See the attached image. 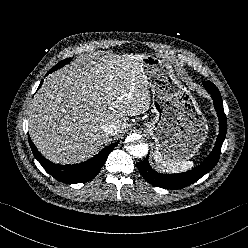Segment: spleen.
<instances>
[{
	"instance_id": "3e777b00",
	"label": "spleen",
	"mask_w": 248,
	"mask_h": 248,
	"mask_svg": "<svg viewBox=\"0 0 248 248\" xmlns=\"http://www.w3.org/2000/svg\"><path fill=\"white\" fill-rule=\"evenodd\" d=\"M154 160L159 169H161L164 172H169V173L185 172L194 167L193 161L171 162V161L163 160L157 154H154Z\"/></svg>"
}]
</instances>
